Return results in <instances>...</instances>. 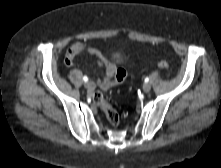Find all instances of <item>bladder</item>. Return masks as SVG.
<instances>
[{"mask_svg": "<svg viewBox=\"0 0 221 168\" xmlns=\"http://www.w3.org/2000/svg\"><path fill=\"white\" fill-rule=\"evenodd\" d=\"M115 58H116L118 61H120V60H122L123 56H122V54H121L120 52H117V53L115 54Z\"/></svg>", "mask_w": 221, "mask_h": 168, "instance_id": "bladder-1", "label": "bladder"}]
</instances>
